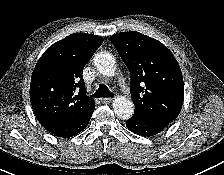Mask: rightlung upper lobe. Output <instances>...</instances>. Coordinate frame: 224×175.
I'll return each mask as SVG.
<instances>
[{
    "label": "right lung upper lobe",
    "instance_id": "right-lung-upper-lobe-1",
    "mask_svg": "<svg viewBox=\"0 0 224 175\" xmlns=\"http://www.w3.org/2000/svg\"><path fill=\"white\" fill-rule=\"evenodd\" d=\"M103 41L100 36L74 33L51 45L37 62L30 101L36 118L48 131L95 108L94 100L85 93L82 72Z\"/></svg>",
    "mask_w": 224,
    "mask_h": 175
}]
</instances>
